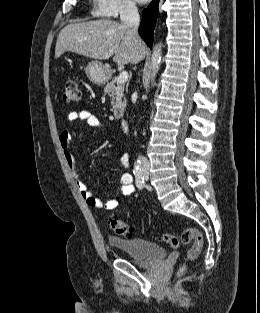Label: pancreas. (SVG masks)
<instances>
[{
  "label": "pancreas",
  "mask_w": 260,
  "mask_h": 313,
  "mask_svg": "<svg viewBox=\"0 0 260 313\" xmlns=\"http://www.w3.org/2000/svg\"><path fill=\"white\" fill-rule=\"evenodd\" d=\"M104 92L111 98L112 110L116 119L123 116L126 107V99L124 98V84L118 83V78L114 77L111 81H107Z\"/></svg>",
  "instance_id": "1"
}]
</instances>
